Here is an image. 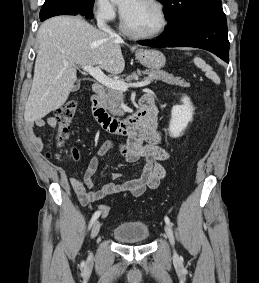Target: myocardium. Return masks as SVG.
Instances as JSON below:
<instances>
[{"mask_svg":"<svg viewBox=\"0 0 259 283\" xmlns=\"http://www.w3.org/2000/svg\"><path fill=\"white\" fill-rule=\"evenodd\" d=\"M148 1L151 2L152 4H154L157 7V9H158V11L161 15V19H162L161 26L156 31L151 32V33H140V32L133 31L128 26L123 12H121V16H120L121 29L128 36H131V37L137 38V39H151V38L158 37L165 32V30L168 26L169 20H168V15H167V12H166L164 5L159 0H148Z\"/></svg>","mask_w":259,"mask_h":283,"instance_id":"obj_1","label":"myocardium"}]
</instances>
